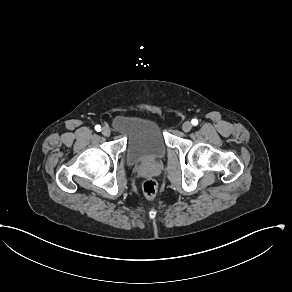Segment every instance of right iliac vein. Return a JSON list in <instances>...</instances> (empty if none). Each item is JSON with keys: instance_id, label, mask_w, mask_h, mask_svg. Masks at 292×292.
I'll return each instance as SVG.
<instances>
[{"instance_id": "1", "label": "right iliac vein", "mask_w": 292, "mask_h": 292, "mask_svg": "<svg viewBox=\"0 0 292 292\" xmlns=\"http://www.w3.org/2000/svg\"><path fill=\"white\" fill-rule=\"evenodd\" d=\"M101 133H102L104 136L108 137V136H110V134H111V130H110L109 127H103Z\"/></svg>"}]
</instances>
